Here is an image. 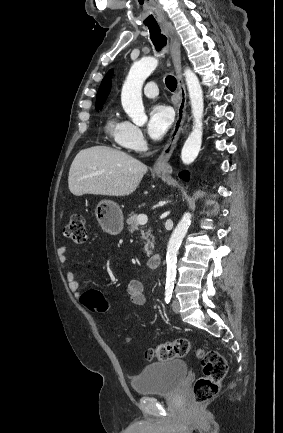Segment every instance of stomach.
<instances>
[{"mask_svg": "<svg viewBox=\"0 0 283 433\" xmlns=\"http://www.w3.org/2000/svg\"><path fill=\"white\" fill-rule=\"evenodd\" d=\"M159 176H165V172H156ZM95 214L104 225L110 235H119L123 229V214L120 206L113 200H101L95 208Z\"/></svg>", "mask_w": 283, "mask_h": 433, "instance_id": "1", "label": "stomach"}]
</instances>
